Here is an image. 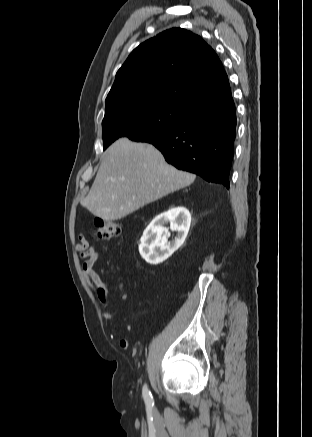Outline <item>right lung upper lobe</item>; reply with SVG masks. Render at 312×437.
<instances>
[{
  "mask_svg": "<svg viewBox=\"0 0 312 437\" xmlns=\"http://www.w3.org/2000/svg\"><path fill=\"white\" fill-rule=\"evenodd\" d=\"M228 87L215 51L200 36L172 28L140 44L129 55L106 98L105 114L140 102L169 103L192 110Z\"/></svg>",
  "mask_w": 312,
  "mask_h": 437,
  "instance_id": "right-lung-upper-lobe-1",
  "label": "right lung upper lobe"
}]
</instances>
